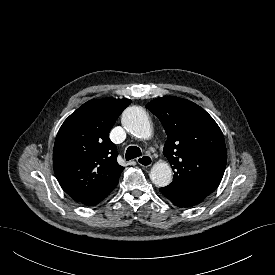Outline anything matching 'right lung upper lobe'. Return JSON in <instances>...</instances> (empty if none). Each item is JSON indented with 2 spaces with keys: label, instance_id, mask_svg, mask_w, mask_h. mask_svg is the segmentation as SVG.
Segmentation results:
<instances>
[{
  "label": "right lung upper lobe",
  "instance_id": "obj_1",
  "mask_svg": "<svg viewBox=\"0 0 275 275\" xmlns=\"http://www.w3.org/2000/svg\"><path fill=\"white\" fill-rule=\"evenodd\" d=\"M130 103V99H92L60 127L53 167L60 186L73 200L102 197L117 186L124 167L117 163V147L108 134Z\"/></svg>",
  "mask_w": 275,
  "mask_h": 275
}]
</instances>
